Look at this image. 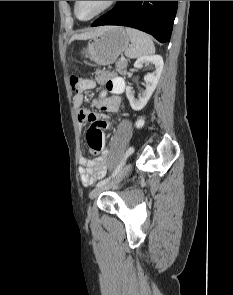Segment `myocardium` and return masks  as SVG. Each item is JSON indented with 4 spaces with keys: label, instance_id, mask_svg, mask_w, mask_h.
I'll return each mask as SVG.
<instances>
[{
    "label": "myocardium",
    "instance_id": "1",
    "mask_svg": "<svg viewBox=\"0 0 233 295\" xmlns=\"http://www.w3.org/2000/svg\"><path fill=\"white\" fill-rule=\"evenodd\" d=\"M117 3V1H107L106 4L99 10L97 11L94 15H92L89 18L83 19L78 15V4L79 1H75L74 2V14L77 17V19H79L80 21H90L95 19L96 17L104 14L105 12L109 11L111 8H113L115 6V4Z\"/></svg>",
    "mask_w": 233,
    "mask_h": 295
}]
</instances>
